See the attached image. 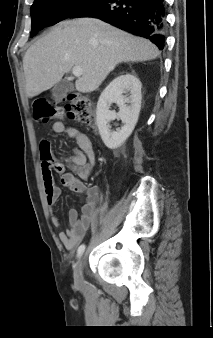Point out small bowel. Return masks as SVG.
<instances>
[{
    "label": "small bowel",
    "mask_w": 213,
    "mask_h": 338,
    "mask_svg": "<svg viewBox=\"0 0 213 338\" xmlns=\"http://www.w3.org/2000/svg\"><path fill=\"white\" fill-rule=\"evenodd\" d=\"M53 134H67L77 144L71 156L56 155L50 147L48 139L42 138L39 142L40 167L43 178L45 198L52 209L57 203L61 189L56 185L53 171L59 174L60 182L72 192L85 200L81 214L70 211L69 226L66 231L59 233V240L68 249L74 250L87 235L88 229L96 216L100 190L97 186H87L84 180L89 177L95 162L94 150L90 139L77 129L66 127L57 121L51 126ZM66 165L72 171H66ZM55 226L60 225L56 215H52Z\"/></svg>",
    "instance_id": "1"
}]
</instances>
